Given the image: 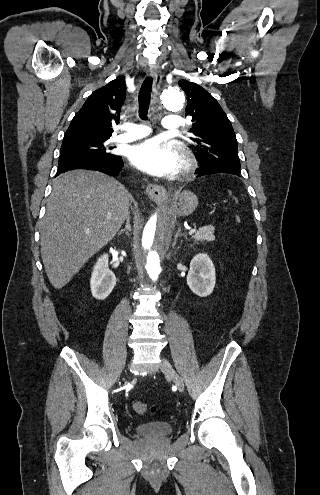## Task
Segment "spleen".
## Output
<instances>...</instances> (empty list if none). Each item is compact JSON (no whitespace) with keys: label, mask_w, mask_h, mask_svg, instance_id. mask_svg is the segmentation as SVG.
<instances>
[{"label":"spleen","mask_w":320,"mask_h":495,"mask_svg":"<svg viewBox=\"0 0 320 495\" xmlns=\"http://www.w3.org/2000/svg\"><path fill=\"white\" fill-rule=\"evenodd\" d=\"M237 221H238V222L240 221L239 217H237Z\"/></svg>","instance_id":"3e777b00"}]
</instances>
